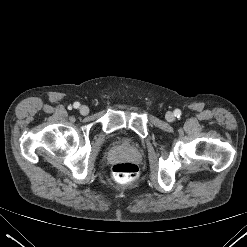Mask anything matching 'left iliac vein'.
I'll list each match as a JSON object with an SVG mask.
<instances>
[{
    "instance_id": "1",
    "label": "left iliac vein",
    "mask_w": 247,
    "mask_h": 247,
    "mask_svg": "<svg viewBox=\"0 0 247 247\" xmlns=\"http://www.w3.org/2000/svg\"><path fill=\"white\" fill-rule=\"evenodd\" d=\"M165 118L168 122H172L175 120V116L172 112H167Z\"/></svg>"
}]
</instances>
